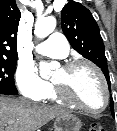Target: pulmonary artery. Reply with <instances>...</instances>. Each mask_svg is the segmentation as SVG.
Masks as SVG:
<instances>
[{
    "instance_id": "pulmonary-artery-1",
    "label": "pulmonary artery",
    "mask_w": 117,
    "mask_h": 131,
    "mask_svg": "<svg viewBox=\"0 0 117 131\" xmlns=\"http://www.w3.org/2000/svg\"><path fill=\"white\" fill-rule=\"evenodd\" d=\"M35 51L52 58H65L69 53V45L61 33L55 32L47 40L36 45Z\"/></svg>"
}]
</instances>
